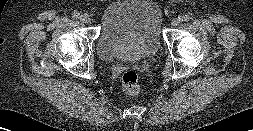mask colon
Returning <instances> with one entry per match:
<instances>
[{
	"label": "colon",
	"instance_id": "colon-1",
	"mask_svg": "<svg viewBox=\"0 0 253 131\" xmlns=\"http://www.w3.org/2000/svg\"><path fill=\"white\" fill-rule=\"evenodd\" d=\"M122 86L130 95H137L139 92V77L133 70H127L122 75Z\"/></svg>",
	"mask_w": 253,
	"mask_h": 131
}]
</instances>
